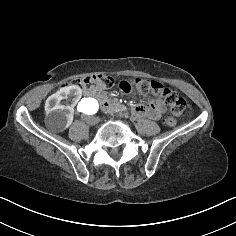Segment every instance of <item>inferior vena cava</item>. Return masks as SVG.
<instances>
[{
    "mask_svg": "<svg viewBox=\"0 0 236 236\" xmlns=\"http://www.w3.org/2000/svg\"><path fill=\"white\" fill-rule=\"evenodd\" d=\"M82 120H85L87 122V124L89 125H96L99 123V118L96 116H87V115H82Z\"/></svg>",
    "mask_w": 236,
    "mask_h": 236,
    "instance_id": "obj_1",
    "label": "inferior vena cava"
}]
</instances>
